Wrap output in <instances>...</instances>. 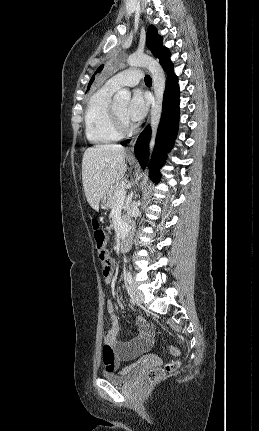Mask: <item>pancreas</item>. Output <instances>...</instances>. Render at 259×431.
<instances>
[{"label": "pancreas", "mask_w": 259, "mask_h": 431, "mask_svg": "<svg viewBox=\"0 0 259 431\" xmlns=\"http://www.w3.org/2000/svg\"><path fill=\"white\" fill-rule=\"evenodd\" d=\"M120 189H124V182L123 181H119L117 182L113 187L110 188L109 193H108V197H109V204L110 207L112 208L115 203L117 202L118 198L116 196V193L118 190Z\"/></svg>", "instance_id": "cf45deb5"}]
</instances>
